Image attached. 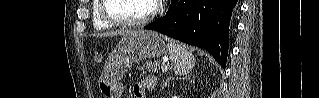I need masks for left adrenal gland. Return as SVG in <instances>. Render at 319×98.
Here are the masks:
<instances>
[{
	"label": "left adrenal gland",
	"mask_w": 319,
	"mask_h": 98,
	"mask_svg": "<svg viewBox=\"0 0 319 98\" xmlns=\"http://www.w3.org/2000/svg\"><path fill=\"white\" fill-rule=\"evenodd\" d=\"M170 80H174V78H168V79L163 83L162 88H164V86H166L167 83H168Z\"/></svg>",
	"instance_id": "1"
}]
</instances>
